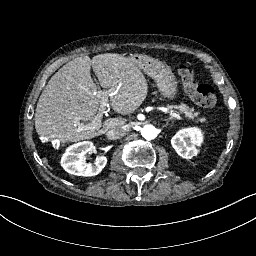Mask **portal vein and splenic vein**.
I'll return each instance as SVG.
<instances>
[{
    "instance_id": "18ae733b",
    "label": "portal vein and splenic vein",
    "mask_w": 256,
    "mask_h": 256,
    "mask_svg": "<svg viewBox=\"0 0 256 256\" xmlns=\"http://www.w3.org/2000/svg\"><path fill=\"white\" fill-rule=\"evenodd\" d=\"M98 95L100 96L101 100H103V103L100 105V108H99L100 113L97 116H95L94 120L92 121L93 128H95L98 125H101V119H102L106 109L109 108L108 101H106V100H107L108 95H111V90H109V91L100 90ZM165 114H170V111H165ZM171 117H174L175 120L180 119V122L185 123V119H181V116H179L176 113H172Z\"/></svg>"
}]
</instances>
